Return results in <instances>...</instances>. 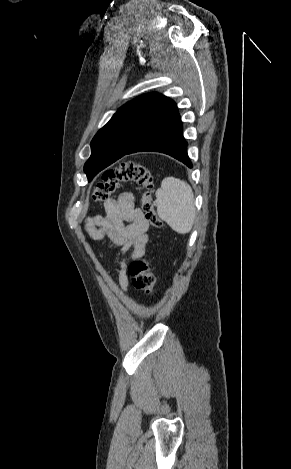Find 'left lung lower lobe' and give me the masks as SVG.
<instances>
[{"instance_id": "1", "label": "left lung lower lobe", "mask_w": 291, "mask_h": 469, "mask_svg": "<svg viewBox=\"0 0 291 469\" xmlns=\"http://www.w3.org/2000/svg\"><path fill=\"white\" fill-rule=\"evenodd\" d=\"M144 151L168 154L192 168V163L187 154V142L183 137V127L178 109L164 123L115 159L118 160L127 154Z\"/></svg>"}]
</instances>
